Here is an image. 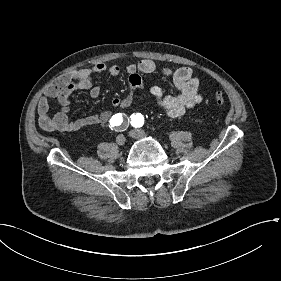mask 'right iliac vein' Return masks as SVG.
I'll use <instances>...</instances> for the list:
<instances>
[{"instance_id":"1","label":"right iliac vein","mask_w":281,"mask_h":281,"mask_svg":"<svg viewBox=\"0 0 281 281\" xmlns=\"http://www.w3.org/2000/svg\"><path fill=\"white\" fill-rule=\"evenodd\" d=\"M125 137L124 135L120 134L116 137V143L119 145V146H123L125 144Z\"/></svg>"}]
</instances>
